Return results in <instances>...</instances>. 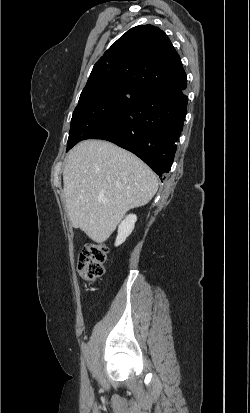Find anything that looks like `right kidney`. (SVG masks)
Listing matches in <instances>:
<instances>
[{
  "label": "right kidney",
  "instance_id": "ca27d5eb",
  "mask_svg": "<svg viewBox=\"0 0 250 413\" xmlns=\"http://www.w3.org/2000/svg\"><path fill=\"white\" fill-rule=\"evenodd\" d=\"M137 221V216L134 214H129L125 219L120 223L118 227V235L116 238L115 246L122 244L126 238L132 233L135 222Z\"/></svg>",
  "mask_w": 250,
  "mask_h": 413
}]
</instances>
